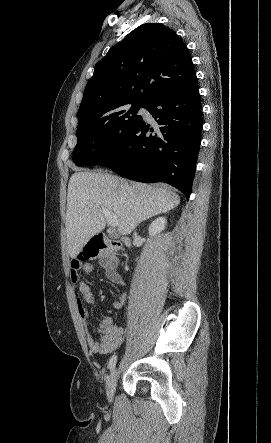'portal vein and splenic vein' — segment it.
Segmentation results:
<instances>
[{
  "mask_svg": "<svg viewBox=\"0 0 271 443\" xmlns=\"http://www.w3.org/2000/svg\"><path fill=\"white\" fill-rule=\"evenodd\" d=\"M102 214H104L109 225H112V227H116V225H118V220L117 218H115L113 212H110V210H105V208H102Z\"/></svg>",
  "mask_w": 271,
  "mask_h": 443,
  "instance_id": "portal-vein-and-splenic-vein-1",
  "label": "portal vein and splenic vein"
}]
</instances>
